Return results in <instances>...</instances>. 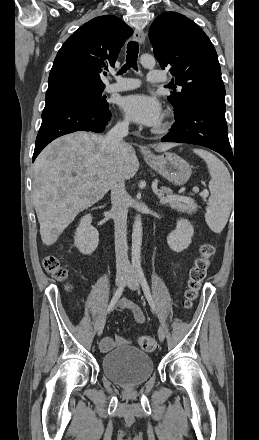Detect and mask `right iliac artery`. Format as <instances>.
I'll return each instance as SVG.
<instances>
[{
	"instance_id": "obj_1",
	"label": "right iliac artery",
	"mask_w": 259,
	"mask_h": 440,
	"mask_svg": "<svg viewBox=\"0 0 259 440\" xmlns=\"http://www.w3.org/2000/svg\"><path fill=\"white\" fill-rule=\"evenodd\" d=\"M133 268H134V266H131V269H133ZM128 277H129V274H127L125 280L122 282V284H121V285L118 287V289L116 290V292H115V294H114V296H113V298H112V300H111V302H110V304H109V306H108V308H107L106 313H109V312L115 307L117 301H118L119 298L121 297L122 292H123V290H124V288H125V286H126V283H127Z\"/></svg>"
}]
</instances>
